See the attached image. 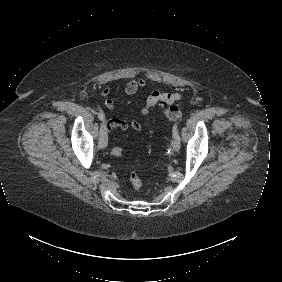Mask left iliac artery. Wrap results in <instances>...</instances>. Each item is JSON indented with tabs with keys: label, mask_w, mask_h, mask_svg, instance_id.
<instances>
[{
	"label": "left iliac artery",
	"mask_w": 282,
	"mask_h": 282,
	"mask_svg": "<svg viewBox=\"0 0 282 282\" xmlns=\"http://www.w3.org/2000/svg\"><path fill=\"white\" fill-rule=\"evenodd\" d=\"M172 132H173V136L176 137V138H179V140H180V137L178 135L177 123L174 124V126L172 128Z\"/></svg>",
	"instance_id": "obj_1"
}]
</instances>
